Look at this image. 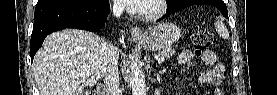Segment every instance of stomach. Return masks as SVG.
Wrapping results in <instances>:
<instances>
[{
  "mask_svg": "<svg viewBox=\"0 0 277 95\" xmlns=\"http://www.w3.org/2000/svg\"><path fill=\"white\" fill-rule=\"evenodd\" d=\"M182 36V30L172 23L157 24L145 32L142 39L135 41L146 50L159 51L171 47Z\"/></svg>",
  "mask_w": 277,
  "mask_h": 95,
  "instance_id": "0dacf381",
  "label": "stomach"
}]
</instances>
